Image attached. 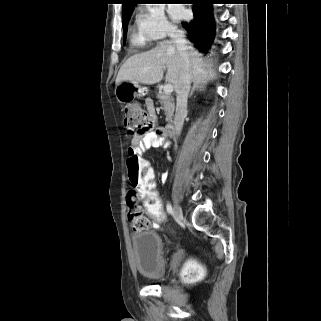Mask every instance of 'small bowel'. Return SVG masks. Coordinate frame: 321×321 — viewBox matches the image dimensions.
I'll use <instances>...</instances> for the list:
<instances>
[{
  "instance_id": "c3829d8e",
  "label": "small bowel",
  "mask_w": 321,
  "mask_h": 321,
  "mask_svg": "<svg viewBox=\"0 0 321 321\" xmlns=\"http://www.w3.org/2000/svg\"><path fill=\"white\" fill-rule=\"evenodd\" d=\"M147 105L149 109H152V104L150 101H147ZM167 146L168 144L166 142L164 129L157 128L155 131L148 132L143 136H134L131 141V146L128 149V153L132 152L138 155L149 148H160ZM151 172H153L152 169ZM149 226L157 227L158 224L155 222L150 224L149 222L148 227Z\"/></svg>"
}]
</instances>
